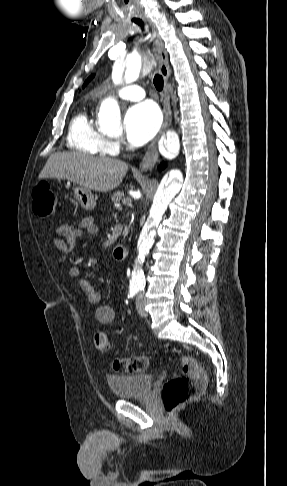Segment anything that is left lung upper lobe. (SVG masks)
I'll return each mask as SVG.
<instances>
[{"label":"left lung upper lobe","mask_w":287,"mask_h":486,"mask_svg":"<svg viewBox=\"0 0 287 486\" xmlns=\"http://www.w3.org/2000/svg\"><path fill=\"white\" fill-rule=\"evenodd\" d=\"M93 78V75H91L84 83L83 87Z\"/></svg>","instance_id":"obj_1"}]
</instances>
